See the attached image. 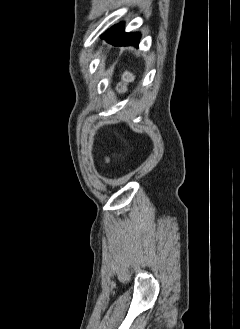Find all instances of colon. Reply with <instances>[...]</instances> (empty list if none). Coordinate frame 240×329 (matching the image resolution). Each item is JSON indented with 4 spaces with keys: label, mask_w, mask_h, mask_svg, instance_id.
<instances>
[{
    "label": "colon",
    "mask_w": 240,
    "mask_h": 329,
    "mask_svg": "<svg viewBox=\"0 0 240 329\" xmlns=\"http://www.w3.org/2000/svg\"><path fill=\"white\" fill-rule=\"evenodd\" d=\"M122 79H123V82H124V83H127V82L131 81V79H132V74H131L130 72H125V73L123 74Z\"/></svg>",
    "instance_id": "1"
}]
</instances>
